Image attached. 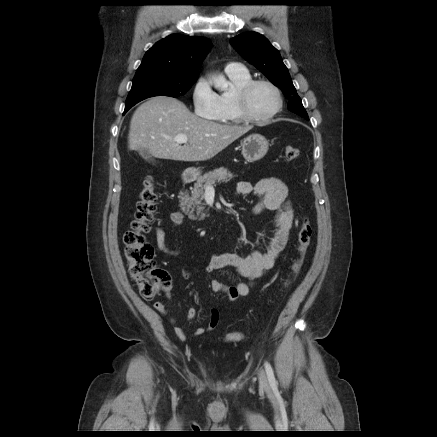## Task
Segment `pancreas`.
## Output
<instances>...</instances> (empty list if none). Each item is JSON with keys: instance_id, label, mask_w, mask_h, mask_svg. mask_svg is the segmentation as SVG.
Listing matches in <instances>:
<instances>
[{"instance_id": "obj_1", "label": "pancreas", "mask_w": 437, "mask_h": 437, "mask_svg": "<svg viewBox=\"0 0 437 437\" xmlns=\"http://www.w3.org/2000/svg\"><path fill=\"white\" fill-rule=\"evenodd\" d=\"M232 178L233 174L223 167L199 176L191 191V196L186 193L182 194L180 204L182 210L192 220H203L207 216L204 212L205 204L202 202L207 186L214 185L217 182H228Z\"/></svg>"}]
</instances>
